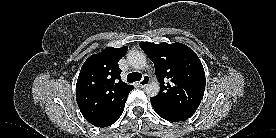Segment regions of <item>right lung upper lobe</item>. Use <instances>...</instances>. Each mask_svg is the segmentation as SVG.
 I'll list each match as a JSON object with an SVG mask.
<instances>
[{
	"label": "right lung upper lobe",
	"mask_w": 276,
	"mask_h": 138,
	"mask_svg": "<svg viewBox=\"0 0 276 138\" xmlns=\"http://www.w3.org/2000/svg\"><path fill=\"white\" fill-rule=\"evenodd\" d=\"M128 48L107 47L91 55L83 64L77 84L76 100L84 118L94 126L115 123L124 111L129 92L134 89L121 81L118 61Z\"/></svg>",
	"instance_id": "1"
}]
</instances>
